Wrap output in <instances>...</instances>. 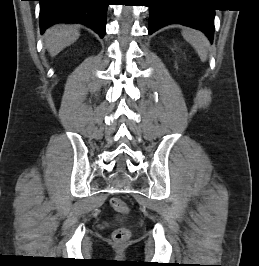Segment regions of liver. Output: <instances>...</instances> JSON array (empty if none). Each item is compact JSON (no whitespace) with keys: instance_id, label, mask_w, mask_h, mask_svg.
<instances>
[{"instance_id":"obj_1","label":"liver","mask_w":259,"mask_h":266,"mask_svg":"<svg viewBox=\"0 0 259 266\" xmlns=\"http://www.w3.org/2000/svg\"><path fill=\"white\" fill-rule=\"evenodd\" d=\"M78 27L74 25H54L45 32V46L52 57L70 46L79 38Z\"/></svg>"}]
</instances>
